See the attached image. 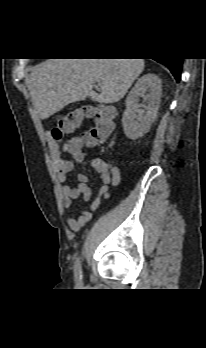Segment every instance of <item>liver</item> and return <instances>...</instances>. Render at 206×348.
<instances>
[{"mask_svg":"<svg viewBox=\"0 0 206 348\" xmlns=\"http://www.w3.org/2000/svg\"><path fill=\"white\" fill-rule=\"evenodd\" d=\"M144 66L143 59H47L32 69L28 88L40 118L47 119L86 98L118 102ZM96 82L100 93L93 90Z\"/></svg>","mask_w":206,"mask_h":348,"instance_id":"liver-1","label":"liver"}]
</instances>
